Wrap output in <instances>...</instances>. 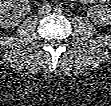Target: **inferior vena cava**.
Returning a JSON list of instances; mask_svg holds the SVG:
<instances>
[{"instance_id": "602c4592", "label": "inferior vena cava", "mask_w": 111, "mask_h": 106, "mask_svg": "<svg viewBox=\"0 0 111 106\" xmlns=\"http://www.w3.org/2000/svg\"><path fill=\"white\" fill-rule=\"evenodd\" d=\"M52 11V8L48 4L41 5L39 12L41 14H48Z\"/></svg>"}]
</instances>
